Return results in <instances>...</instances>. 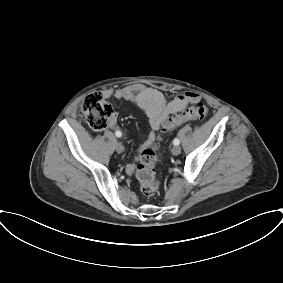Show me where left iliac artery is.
<instances>
[{"mask_svg":"<svg viewBox=\"0 0 283 283\" xmlns=\"http://www.w3.org/2000/svg\"><path fill=\"white\" fill-rule=\"evenodd\" d=\"M173 144H174V145H179V144H180L179 139L175 138V139L173 140Z\"/></svg>","mask_w":283,"mask_h":283,"instance_id":"44dca946","label":"left iliac artery"}]
</instances>
